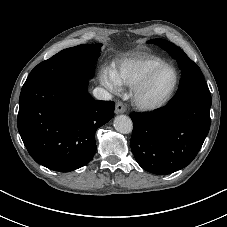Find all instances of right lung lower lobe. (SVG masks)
<instances>
[{
	"mask_svg": "<svg viewBox=\"0 0 227 227\" xmlns=\"http://www.w3.org/2000/svg\"><path fill=\"white\" fill-rule=\"evenodd\" d=\"M88 80H48L21 91L18 130L31 157L48 169L69 172L96 151L95 133L114 116L113 101L94 100Z\"/></svg>",
	"mask_w": 227,
	"mask_h": 227,
	"instance_id": "obj_1",
	"label": "right lung lower lobe"
}]
</instances>
